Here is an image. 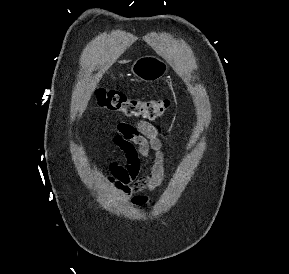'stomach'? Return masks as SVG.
Returning a JSON list of instances; mask_svg holds the SVG:
<instances>
[{
	"label": "stomach",
	"instance_id": "obj_1",
	"mask_svg": "<svg viewBox=\"0 0 289 274\" xmlns=\"http://www.w3.org/2000/svg\"><path fill=\"white\" fill-rule=\"evenodd\" d=\"M131 73L145 82H154L161 79L168 71V64L153 55L138 58L131 65Z\"/></svg>",
	"mask_w": 289,
	"mask_h": 274
}]
</instances>
